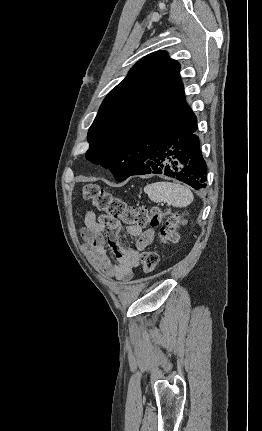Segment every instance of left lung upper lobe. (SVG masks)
I'll return each instance as SVG.
<instances>
[{
    "instance_id": "obj_1",
    "label": "left lung upper lobe",
    "mask_w": 262,
    "mask_h": 431,
    "mask_svg": "<svg viewBox=\"0 0 262 431\" xmlns=\"http://www.w3.org/2000/svg\"><path fill=\"white\" fill-rule=\"evenodd\" d=\"M180 65L164 51L147 55L106 96L88 131L86 159L128 178L136 159L196 117L184 98Z\"/></svg>"
}]
</instances>
